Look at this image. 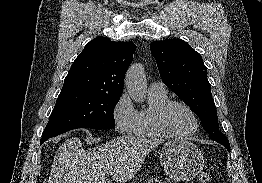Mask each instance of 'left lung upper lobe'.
<instances>
[{"mask_svg": "<svg viewBox=\"0 0 262 183\" xmlns=\"http://www.w3.org/2000/svg\"><path fill=\"white\" fill-rule=\"evenodd\" d=\"M150 48L163 83L196 113L209 138L227 140L219 131L217 110L201 55L180 39L155 41Z\"/></svg>", "mask_w": 262, "mask_h": 183, "instance_id": "obj_1", "label": "left lung upper lobe"}]
</instances>
